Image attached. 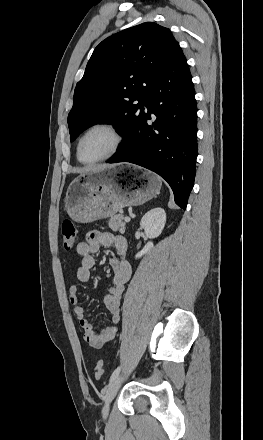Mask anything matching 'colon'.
<instances>
[{"mask_svg":"<svg viewBox=\"0 0 263 440\" xmlns=\"http://www.w3.org/2000/svg\"><path fill=\"white\" fill-rule=\"evenodd\" d=\"M62 243L65 249H72L78 240V230L71 220H64L61 227ZM103 361H98L94 368V376L101 380L103 376Z\"/></svg>","mask_w":263,"mask_h":440,"instance_id":"1","label":"colon"}]
</instances>
